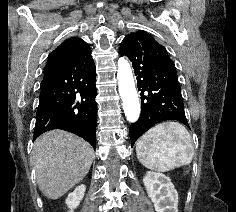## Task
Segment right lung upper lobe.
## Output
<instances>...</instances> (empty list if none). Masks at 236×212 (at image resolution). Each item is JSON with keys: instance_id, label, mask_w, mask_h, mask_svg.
<instances>
[{"instance_id": "cb5924a9", "label": "right lung upper lobe", "mask_w": 236, "mask_h": 212, "mask_svg": "<svg viewBox=\"0 0 236 212\" xmlns=\"http://www.w3.org/2000/svg\"><path fill=\"white\" fill-rule=\"evenodd\" d=\"M87 45L88 44L85 41L77 37H70L66 39L50 53L45 68L52 67L59 62L75 56Z\"/></svg>"}]
</instances>
